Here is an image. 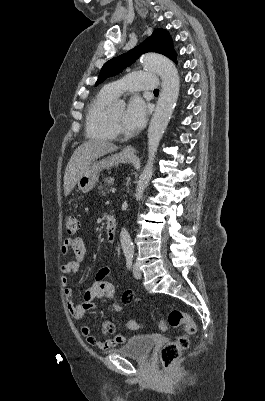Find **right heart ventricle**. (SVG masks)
Returning <instances> with one entry per match:
<instances>
[{
  "label": "right heart ventricle",
  "instance_id": "1",
  "mask_svg": "<svg viewBox=\"0 0 265 401\" xmlns=\"http://www.w3.org/2000/svg\"><path fill=\"white\" fill-rule=\"evenodd\" d=\"M115 98L108 92L107 87H103L91 98L85 117V130L88 137L103 141L113 140L116 137L110 124L109 110Z\"/></svg>",
  "mask_w": 265,
  "mask_h": 401
}]
</instances>
